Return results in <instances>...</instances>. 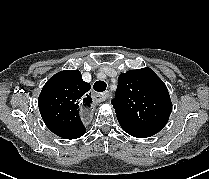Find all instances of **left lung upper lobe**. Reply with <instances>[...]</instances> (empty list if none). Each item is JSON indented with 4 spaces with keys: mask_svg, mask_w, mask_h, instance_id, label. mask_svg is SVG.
Masks as SVG:
<instances>
[{
    "mask_svg": "<svg viewBox=\"0 0 209 179\" xmlns=\"http://www.w3.org/2000/svg\"><path fill=\"white\" fill-rule=\"evenodd\" d=\"M112 104L117 119L152 133L166 125L172 112L166 85L148 67L120 74Z\"/></svg>",
    "mask_w": 209,
    "mask_h": 179,
    "instance_id": "1",
    "label": "left lung upper lobe"
}]
</instances>
